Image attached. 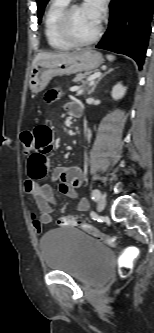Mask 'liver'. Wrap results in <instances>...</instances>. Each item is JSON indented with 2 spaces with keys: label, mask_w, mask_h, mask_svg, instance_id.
Returning a JSON list of instances; mask_svg holds the SVG:
<instances>
[{
  "label": "liver",
  "mask_w": 154,
  "mask_h": 333,
  "mask_svg": "<svg viewBox=\"0 0 154 333\" xmlns=\"http://www.w3.org/2000/svg\"><path fill=\"white\" fill-rule=\"evenodd\" d=\"M75 52L73 53H47V52H40L38 53L33 62H32V67H34L39 61L43 60H53V59H60L66 56L74 55Z\"/></svg>",
  "instance_id": "6515ba94"
}]
</instances>
